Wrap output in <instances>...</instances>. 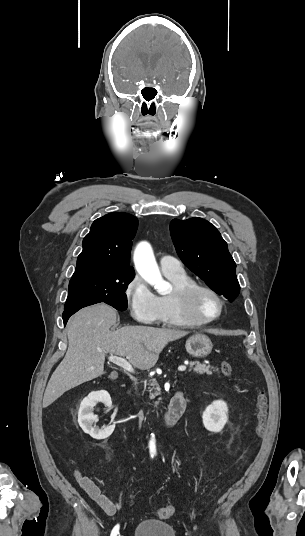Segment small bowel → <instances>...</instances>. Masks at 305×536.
<instances>
[{"label": "small bowel", "mask_w": 305, "mask_h": 536, "mask_svg": "<svg viewBox=\"0 0 305 536\" xmlns=\"http://www.w3.org/2000/svg\"><path fill=\"white\" fill-rule=\"evenodd\" d=\"M74 477L80 487L88 495L89 499L95 503L105 515H115L117 511L116 504L109 497L104 495L100 488L90 478L82 475L77 469L74 470Z\"/></svg>", "instance_id": "obj_1"}]
</instances>
